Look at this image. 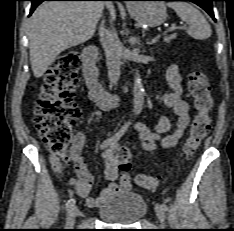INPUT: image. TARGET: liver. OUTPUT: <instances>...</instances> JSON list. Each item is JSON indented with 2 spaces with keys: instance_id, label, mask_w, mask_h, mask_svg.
Masks as SVG:
<instances>
[{
  "instance_id": "6515ba94",
  "label": "liver",
  "mask_w": 234,
  "mask_h": 231,
  "mask_svg": "<svg viewBox=\"0 0 234 231\" xmlns=\"http://www.w3.org/2000/svg\"><path fill=\"white\" fill-rule=\"evenodd\" d=\"M102 1L42 3L29 19V48L33 74L40 78L57 56L90 40L103 15ZM115 19L113 5L108 8Z\"/></svg>"
}]
</instances>
